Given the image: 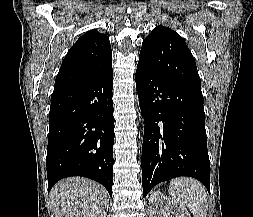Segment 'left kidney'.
Masks as SVG:
<instances>
[{
  "instance_id": "5707ae66",
  "label": "left kidney",
  "mask_w": 253,
  "mask_h": 217,
  "mask_svg": "<svg viewBox=\"0 0 253 217\" xmlns=\"http://www.w3.org/2000/svg\"><path fill=\"white\" fill-rule=\"evenodd\" d=\"M153 217H191L185 207L175 204L170 198L157 191L151 197Z\"/></svg>"
}]
</instances>
